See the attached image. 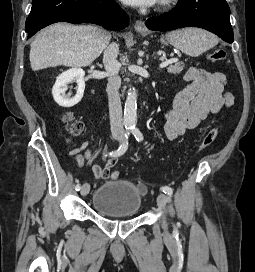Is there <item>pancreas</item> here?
<instances>
[{
    "instance_id": "pancreas-1",
    "label": "pancreas",
    "mask_w": 255,
    "mask_h": 272,
    "mask_svg": "<svg viewBox=\"0 0 255 272\" xmlns=\"http://www.w3.org/2000/svg\"><path fill=\"white\" fill-rule=\"evenodd\" d=\"M183 68H184V64L182 62H177L174 65H170L167 68V71L169 73H171V74L177 75V74L181 73V71L183 70Z\"/></svg>"
}]
</instances>
